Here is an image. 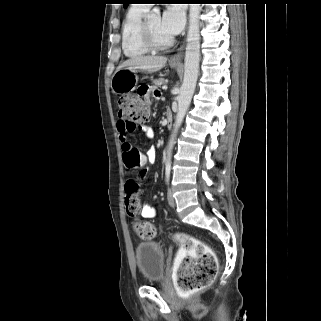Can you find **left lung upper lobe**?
<instances>
[{
    "mask_svg": "<svg viewBox=\"0 0 321 321\" xmlns=\"http://www.w3.org/2000/svg\"><path fill=\"white\" fill-rule=\"evenodd\" d=\"M124 6H127L128 4H130L131 0H122Z\"/></svg>",
    "mask_w": 321,
    "mask_h": 321,
    "instance_id": "5c2ea615",
    "label": "left lung upper lobe"
}]
</instances>
